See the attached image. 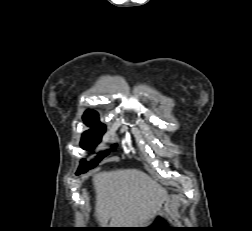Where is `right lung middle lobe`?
I'll list each match as a JSON object with an SVG mask.
<instances>
[{"mask_svg":"<svg viewBox=\"0 0 252 231\" xmlns=\"http://www.w3.org/2000/svg\"><path fill=\"white\" fill-rule=\"evenodd\" d=\"M83 120L87 126L91 127V129L83 133L80 145L83 149L92 150L101 142L105 127L99 122L98 115L83 116ZM113 147L115 148V146ZM106 155H108V152H101L98 154L97 158L90 163L82 160L78 172L83 173L88 169L95 167Z\"/></svg>","mask_w":252,"mask_h":231,"instance_id":"dd1d6c3e","label":"right lung middle lobe"}]
</instances>
